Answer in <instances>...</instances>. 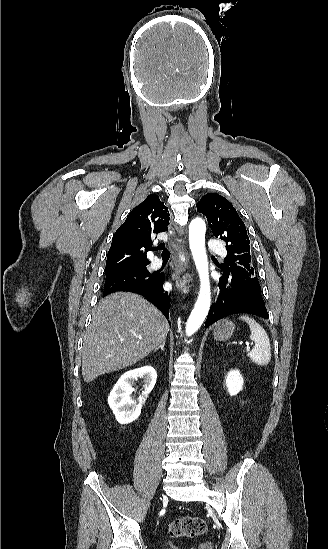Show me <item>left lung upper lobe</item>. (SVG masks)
Segmentation results:
<instances>
[{
    "label": "left lung upper lobe",
    "mask_w": 328,
    "mask_h": 549,
    "mask_svg": "<svg viewBox=\"0 0 328 549\" xmlns=\"http://www.w3.org/2000/svg\"><path fill=\"white\" fill-rule=\"evenodd\" d=\"M196 206L197 211L206 216L213 235L226 243L227 256L221 269L228 274L256 278L251 266L247 231L232 204L219 194L207 193Z\"/></svg>",
    "instance_id": "1"
}]
</instances>
